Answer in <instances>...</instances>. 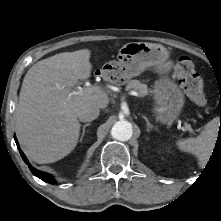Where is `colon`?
I'll list each match as a JSON object with an SVG mask.
<instances>
[{"mask_svg": "<svg viewBox=\"0 0 221 221\" xmlns=\"http://www.w3.org/2000/svg\"><path fill=\"white\" fill-rule=\"evenodd\" d=\"M174 72L185 94L196 105L204 106L206 104L204 84L192 60L186 56L179 58Z\"/></svg>", "mask_w": 221, "mask_h": 221, "instance_id": "obj_1", "label": "colon"}]
</instances>
